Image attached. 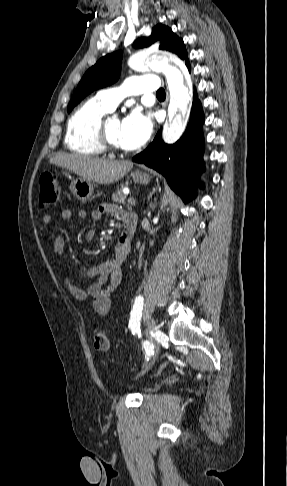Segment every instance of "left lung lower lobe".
Returning <instances> with one entry per match:
<instances>
[{
  "instance_id": "obj_1",
  "label": "left lung lower lobe",
  "mask_w": 287,
  "mask_h": 486,
  "mask_svg": "<svg viewBox=\"0 0 287 486\" xmlns=\"http://www.w3.org/2000/svg\"><path fill=\"white\" fill-rule=\"evenodd\" d=\"M185 64L191 72L189 60ZM190 122L183 136L173 145L165 144L159 132L153 142L133 161L143 163L165 176L170 187L186 203L193 199L201 172H204V139L201 130L204 115L194 93Z\"/></svg>"
}]
</instances>
